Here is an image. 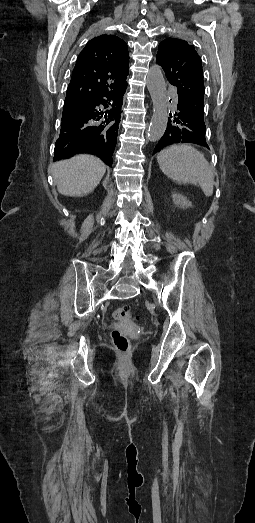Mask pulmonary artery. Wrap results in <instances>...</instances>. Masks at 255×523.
Returning <instances> with one entry per match:
<instances>
[{
  "mask_svg": "<svg viewBox=\"0 0 255 523\" xmlns=\"http://www.w3.org/2000/svg\"><path fill=\"white\" fill-rule=\"evenodd\" d=\"M169 88L171 89L169 94V99L172 101L171 105L173 107H176L178 105V102L176 101L178 99L177 90L175 89L176 85L174 83H171L169 85Z\"/></svg>",
  "mask_w": 255,
  "mask_h": 523,
  "instance_id": "1",
  "label": "pulmonary artery"
}]
</instances>
